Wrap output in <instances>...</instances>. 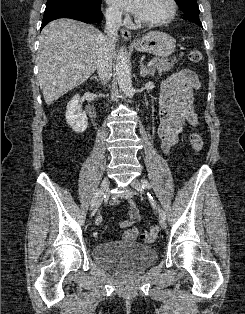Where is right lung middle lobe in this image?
Wrapping results in <instances>:
<instances>
[{
	"label": "right lung middle lobe",
	"mask_w": 245,
	"mask_h": 314,
	"mask_svg": "<svg viewBox=\"0 0 245 314\" xmlns=\"http://www.w3.org/2000/svg\"><path fill=\"white\" fill-rule=\"evenodd\" d=\"M76 3V4H83L88 6H100L101 0H47V5L53 4V3Z\"/></svg>",
	"instance_id": "1"
}]
</instances>
